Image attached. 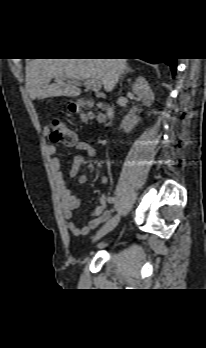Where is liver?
<instances>
[{
    "instance_id": "1",
    "label": "liver",
    "mask_w": 206,
    "mask_h": 348,
    "mask_svg": "<svg viewBox=\"0 0 206 348\" xmlns=\"http://www.w3.org/2000/svg\"><path fill=\"white\" fill-rule=\"evenodd\" d=\"M127 67V59H31L26 90L31 99L79 96L78 80L95 79L111 92ZM55 78V83H50Z\"/></svg>"
}]
</instances>
